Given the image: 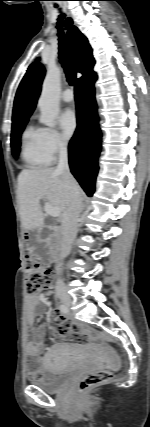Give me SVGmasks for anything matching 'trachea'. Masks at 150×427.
Returning a JSON list of instances; mask_svg holds the SVG:
<instances>
[{
    "label": "trachea",
    "instance_id": "1",
    "mask_svg": "<svg viewBox=\"0 0 150 427\" xmlns=\"http://www.w3.org/2000/svg\"><path fill=\"white\" fill-rule=\"evenodd\" d=\"M65 17V14H60L58 18L57 28H58V36H59V59L60 63L62 64V67L65 71L67 81L70 85H73L76 81V71L74 64L70 58L65 35L62 28V21ZM71 23L70 18L66 19V26H68Z\"/></svg>",
    "mask_w": 150,
    "mask_h": 427
}]
</instances>
